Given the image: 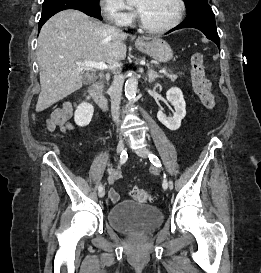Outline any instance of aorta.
<instances>
[{
  "label": "aorta",
  "instance_id": "obj_1",
  "mask_svg": "<svg viewBox=\"0 0 261 273\" xmlns=\"http://www.w3.org/2000/svg\"><path fill=\"white\" fill-rule=\"evenodd\" d=\"M135 0H127V2H133ZM138 86V79L135 76H131L125 83V95L130 100L136 96Z\"/></svg>",
  "mask_w": 261,
  "mask_h": 273
}]
</instances>
